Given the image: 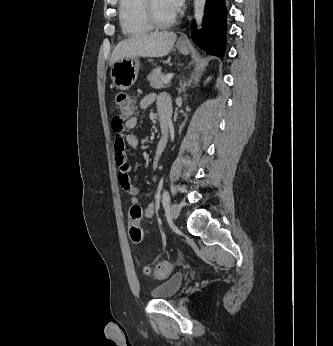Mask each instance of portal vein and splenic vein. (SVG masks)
I'll use <instances>...</instances> for the list:
<instances>
[{
    "mask_svg": "<svg viewBox=\"0 0 333 346\" xmlns=\"http://www.w3.org/2000/svg\"><path fill=\"white\" fill-rule=\"evenodd\" d=\"M173 74H168L163 78V84H167L171 81Z\"/></svg>",
    "mask_w": 333,
    "mask_h": 346,
    "instance_id": "1",
    "label": "portal vein and splenic vein"
}]
</instances>
